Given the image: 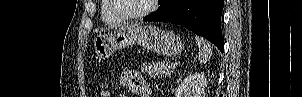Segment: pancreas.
Masks as SVG:
<instances>
[{"instance_id":"1","label":"pancreas","mask_w":302,"mask_h":97,"mask_svg":"<svg viewBox=\"0 0 302 97\" xmlns=\"http://www.w3.org/2000/svg\"><path fill=\"white\" fill-rule=\"evenodd\" d=\"M170 61H161L154 63L152 65H145L141 68L143 74L155 77V76H163L170 75L173 71L170 68Z\"/></svg>"}]
</instances>
